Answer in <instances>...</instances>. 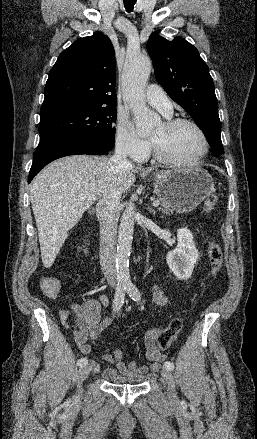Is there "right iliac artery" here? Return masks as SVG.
Segmentation results:
<instances>
[{
	"instance_id": "right-iliac-artery-1",
	"label": "right iliac artery",
	"mask_w": 257,
	"mask_h": 439,
	"mask_svg": "<svg viewBox=\"0 0 257 439\" xmlns=\"http://www.w3.org/2000/svg\"><path fill=\"white\" fill-rule=\"evenodd\" d=\"M124 297H125V285L120 284L118 285L115 293V298L113 301V310L119 311L124 303ZM88 363V360L86 357H82L78 360V366L83 367Z\"/></svg>"
}]
</instances>
